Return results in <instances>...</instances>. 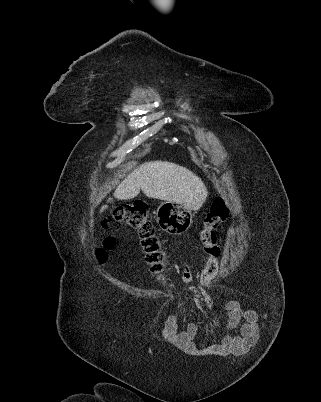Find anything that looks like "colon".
<instances>
[{"label":"colon","mask_w":321,"mask_h":402,"mask_svg":"<svg viewBox=\"0 0 321 402\" xmlns=\"http://www.w3.org/2000/svg\"><path fill=\"white\" fill-rule=\"evenodd\" d=\"M229 214V208L222 198L215 199L205 215L203 229L200 232V242L205 254V265L202 274L196 276L200 283L201 294H210L212 288L209 284L219 271V259L221 248L216 235V229L223 223ZM110 221H116L127 225L137 231L141 245L146 253V260L153 272L162 275L166 266V255L163 252L162 240L149 217V210L146 203L138 201L118 207ZM113 238H106L102 247L96 250L98 261L106 259L107 252L114 247ZM166 291L171 289L169 284L164 286Z\"/></svg>","instance_id":"colon-1"}]
</instances>
